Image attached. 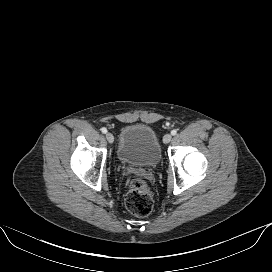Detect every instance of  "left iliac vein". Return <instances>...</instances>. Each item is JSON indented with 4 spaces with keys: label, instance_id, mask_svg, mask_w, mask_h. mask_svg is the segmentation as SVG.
Returning <instances> with one entry per match:
<instances>
[{
    "label": "left iliac vein",
    "instance_id": "obj_1",
    "mask_svg": "<svg viewBox=\"0 0 272 272\" xmlns=\"http://www.w3.org/2000/svg\"><path fill=\"white\" fill-rule=\"evenodd\" d=\"M171 139H172L171 134H165L163 137V142L167 144L171 141Z\"/></svg>",
    "mask_w": 272,
    "mask_h": 272
}]
</instances>
